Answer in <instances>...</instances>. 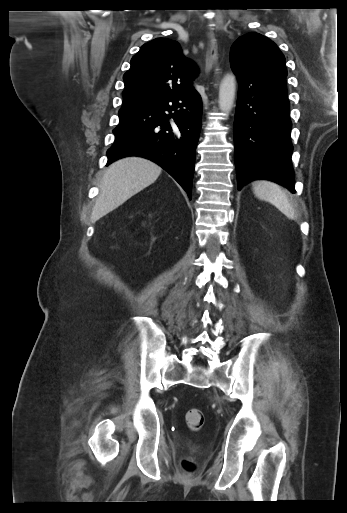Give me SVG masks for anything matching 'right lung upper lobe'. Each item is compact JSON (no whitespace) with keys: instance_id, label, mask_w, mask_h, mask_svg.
<instances>
[{"instance_id":"obj_1","label":"right lung upper lobe","mask_w":347,"mask_h":513,"mask_svg":"<svg viewBox=\"0 0 347 513\" xmlns=\"http://www.w3.org/2000/svg\"><path fill=\"white\" fill-rule=\"evenodd\" d=\"M197 73L196 65L181 53L178 42L156 38L144 44L131 59V67L123 76L121 110L195 90L190 80Z\"/></svg>"}]
</instances>
